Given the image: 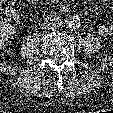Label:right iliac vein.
<instances>
[{
    "mask_svg": "<svg viewBox=\"0 0 113 113\" xmlns=\"http://www.w3.org/2000/svg\"><path fill=\"white\" fill-rule=\"evenodd\" d=\"M46 26H47V23H44V24H43V28H45Z\"/></svg>",
    "mask_w": 113,
    "mask_h": 113,
    "instance_id": "right-iliac-vein-1",
    "label": "right iliac vein"
}]
</instances>
